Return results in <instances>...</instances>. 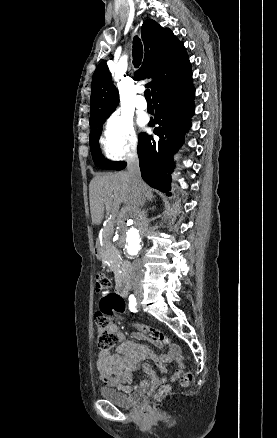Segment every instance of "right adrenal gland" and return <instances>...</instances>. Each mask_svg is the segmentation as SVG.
Masks as SVG:
<instances>
[{
  "mask_svg": "<svg viewBox=\"0 0 277 438\" xmlns=\"http://www.w3.org/2000/svg\"><path fill=\"white\" fill-rule=\"evenodd\" d=\"M155 206H153V208H150V210H154Z\"/></svg>",
  "mask_w": 277,
  "mask_h": 438,
  "instance_id": "right-adrenal-gland-1",
  "label": "right adrenal gland"
}]
</instances>
